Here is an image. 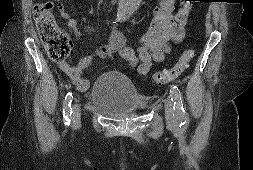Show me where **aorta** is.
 <instances>
[{
	"label": "aorta",
	"instance_id": "762f6f07",
	"mask_svg": "<svg viewBox=\"0 0 253 170\" xmlns=\"http://www.w3.org/2000/svg\"><path fill=\"white\" fill-rule=\"evenodd\" d=\"M141 0H119L118 16L126 18L137 10Z\"/></svg>",
	"mask_w": 253,
	"mask_h": 170
}]
</instances>
